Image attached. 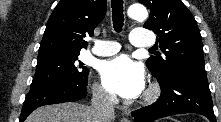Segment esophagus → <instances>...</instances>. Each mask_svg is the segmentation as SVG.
<instances>
[{"label":"esophagus","instance_id":"obj_1","mask_svg":"<svg viewBox=\"0 0 221 122\" xmlns=\"http://www.w3.org/2000/svg\"><path fill=\"white\" fill-rule=\"evenodd\" d=\"M121 122H130V121L127 118L124 117V118L121 119Z\"/></svg>","mask_w":221,"mask_h":122}]
</instances>
